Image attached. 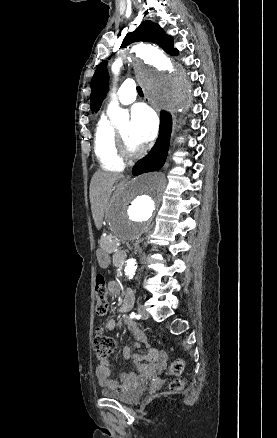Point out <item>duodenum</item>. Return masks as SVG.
Masks as SVG:
<instances>
[{
	"label": "duodenum",
	"instance_id": "410a0bca",
	"mask_svg": "<svg viewBox=\"0 0 277 438\" xmlns=\"http://www.w3.org/2000/svg\"><path fill=\"white\" fill-rule=\"evenodd\" d=\"M127 255L124 251L116 252L114 256V262L116 266H122L126 261Z\"/></svg>",
	"mask_w": 277,
	"mask_h": 438
}]
</instances>
